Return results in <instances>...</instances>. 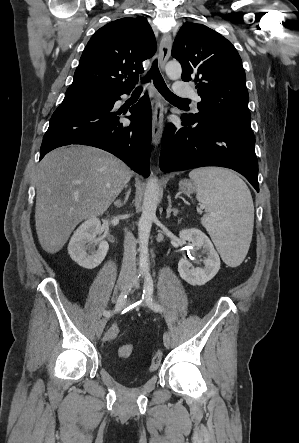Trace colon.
Listing matches in <instances>:
<instances>
[{"instance_id":"1","label":"colon","mask_w":299,"mask_h":443,"mask_svg":"<svg viewBox=\"0 0 299 443\" xmlns=\"http://www.w3.org/2000/svg\"><path fill=\"white\" fill-rule=\"evenodd\" d=\"M119 332H120L119 327L116 324L109 326L105 331L104 340L107 341L114 340L119 335ZM133 352H134V346L132 344H126L119 348V356L121 358H128L133 354ZM162 360H163L162 353L160 351L155 352L151 358L150 370L151 371L157 370L160 367Z\"/></svg>"}]
</instances>
